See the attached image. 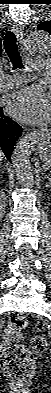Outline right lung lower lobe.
<instances>
[{
  "label": "right lung lower lobe",
  "instance_id": "98d812e1",
  "mask_svg": "<svg viewBox=\"0 0 51 393\" xmlns=\"http://www.w3.org/2000/svg\"><path fill=\"white\" fill-rule=\"evenodd\" d=\"M21 134V126L5 116L2 107H0V152L3 151L9 161L11 160L13 146Z\"/></svg>",
  "mask_w": 51,
  "mask_h": 393
}]
</instances>
